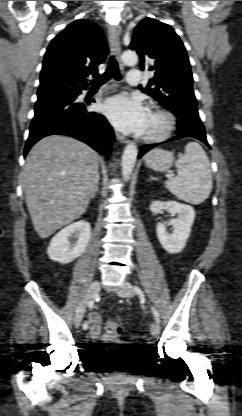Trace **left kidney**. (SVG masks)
<instances>
[{
	"instance_id": "5707ae66",
	"label": "left kidney",
	"mask_w": 242,
	"mask_h": 416,
	"mask_svg": "<svg viewBox=\"0 0 242 416\" xmlns=\"http://www.w3.org/2000/svg\"><path fill=\"white\" fill-rule=\"evenodd\" d=\"M150 210L154 214L166 210L172 215H178L177 218H173L168 222L174 229L171 234L167 232L165 223H157L156 233L160 244L168 253L175 254L181 252L186 246L195 219L193 207L176 201H154L150 205Z\"/></svg>"
}]
</instances>
